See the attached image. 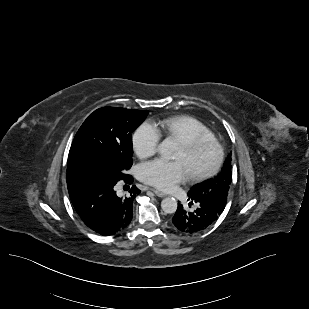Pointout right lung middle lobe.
Returning <instances> with one entry per match:
<instances>
[{
  "label": "right lung middle lobe",
  "instance_id": "obj_1",
  "mask_svg": "<svg viewBox=\"0 0 309 309\" xmlns=\"http://www.w3.org/2000/svg\"><path fill=\"white\" fill-rule=\"evenodd\" d=\"M147 114V110L97 109L78 130L67 167H83L109 180H121L133 163L131 133Z\"/></svg>",
  "mask_w": 309,
  "mask_h": 309
}]
</instances>
